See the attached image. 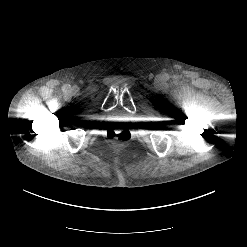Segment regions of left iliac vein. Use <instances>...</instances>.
<instances>
[{
	"label": "left iliac vein",
	"mask_w": 247,
	"mask_h": 247,
	"mask_svg": "<svg viewBox=\"0 0 247 247\" xmlns=\"http://www.w3.org/2000/svg\"><path fill=\"white\" fill-rule=\"evenodd\" d=\"M157 81L159 82L160 81V78H158Z\"/></svg>",
	"instance_id": "obj_1"
}]
</instances>
